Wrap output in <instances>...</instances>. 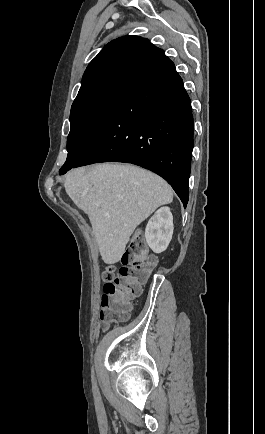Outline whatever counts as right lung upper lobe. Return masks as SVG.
<instances>
[{"mask_svg": "<svg viewBox=\"0 0 265 434\" xmlns=\"http://www.w3.org/2000/svg\"><path fill=\"white\" fill-rule=\"evenodd\" d=\"M164 51L146 38L124 36L108 43L88 65L82 85L116 74H132L144 70Z\"/></svg>", "mask_w": 265, "mask_h": 434, "instance_id": "obj_1", "label": "right lung upper lobe"}]
</instances>
